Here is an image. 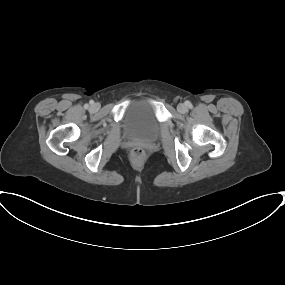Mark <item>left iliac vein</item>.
Returning <instances> with one entry per match:
<instances>
[{"mask_svg":"<svg viewBox=\"0 0 285 285\" xmlns=\"http://www.w3.org/2000/svg\"><path fill=\"white\" fill-rule=\"evenodd\" d=\"M177 110H178L180 113H186V112H187V107H186V105L180 103V104L177 106Z\"/></svg>","mask_w":285,"mask_h":285,"instance_id":"left-iliac-vein-1","label":"left iliac vein"}]
</instances>
